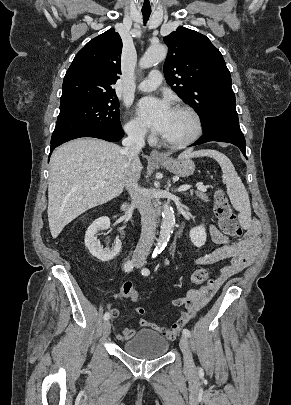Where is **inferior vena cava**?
Returning a JSON list of instances; mask_svg holds the SVG:
<instances>
[{
    "label": "inferior vena cava",
    "mask_w": 291,
    "mask_h": 405,
    "mask_svg": "<svg viewBox=\"0 0 291 405\" xmlns=\"http://www.w3.org/2000/svg\"><path fill=\"white\" fill-rule=\"evenodd\" d=\"M127 137L123 139L122 154L126 156L128 165L138 157L139 152L145 146L144 131L133 127L127 130ZM140 174L132 173L126 180V189L129 191L133 204L141 214L142 232L139 243L134 251L132 260L144 262L151 249L156 230V214L150 198L144 189L138 185Z\"/></svg>",
    "instance_id": "1"
}]
</instances>
